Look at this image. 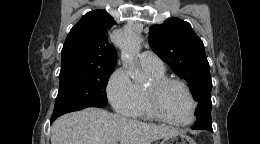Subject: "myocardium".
Here are the masks:
<instances>
[{"label":"myocardium","mask_w":260,"mask_h":144,"mask_svg":"<svg viewBox=\"0 0 260 144\" xmlns=\"http://www.w3.org/2000/svg\"><path fill=\"white\" fill-rule=\"evenodd\" d=\"M180 86L187 94V96L190 99L191 102V117L188 121L186 122H177L174 121L170 118H168L161 106H160V99L164 93V91L171 87V86ZM146 100H147V104L148 107L150 109V112L152 113V115L159 119L160 121H163L165 123L174 125V126H179V127H184V126H188L190 124L193 123L194 119H195V114H196V109H197V102L190 90V88L188 87V85L178 79H173V78H162V79H155L152 80L150 82V84L148 85V87L146 88Z\"/></svg>","instance_id":"1"}]
</instances>
